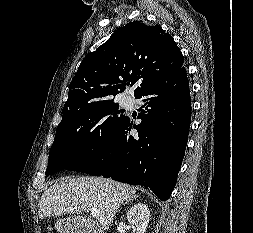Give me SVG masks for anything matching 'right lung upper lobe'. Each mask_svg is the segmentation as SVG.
<instances>
[{
  "label": "right lung upper lobe",
  "instance_id": "right-lung-upper-lobe-1",
  "mask_svg": "<svg viewBox=\"0 0 253 233\" xmlns=\"http://www.w3.org/2000/svg\"><path fill=\"white\" fill-rule=\"evenodd\" d=\"M184 57L174 39L159 25L133 21L118 28L103 45L89 53L69 86L63 117L110 100L137 84L138 95L154 80L182 67Z\"/></svg>",
  "mask_w": 253,
  "mask_h": 233
}]
</instances>
